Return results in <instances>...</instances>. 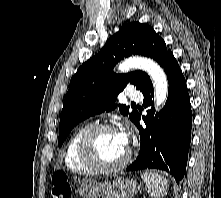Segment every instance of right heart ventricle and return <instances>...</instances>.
Instances as JSON below:
<instances>
[{"mask_svg": "<svg viewBox=\"0 0 221 198\" xmlns=\"http://www.w3.org/2000/svg\"><path fill=\"white\" fill-rule=\"evenodd\" d=\"M89 128V125H83L76 129L65 145L64 163L71 171L80 173H91L94 171L82 161L79 151L81 139Z\"/></svg>", "mask_w": 221, "mask_h": 198, "instance_id": "e07e8e85", "label": "right heart ventricle"}]
</instances>
